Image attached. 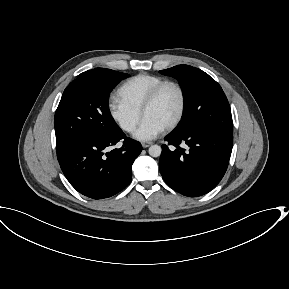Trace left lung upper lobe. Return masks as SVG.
Masks as SVG:
<instances>
[{"mask_svg":"<svg viewBox=\"0 0 289 289\" xmlns=\"http://www.w3.org/2000/svg\"><path fill=\"white\" fill-rule=\"evenodd\" d=\"M160 73L176 78L185 100L184 115L177 132L194 128L232 133L231 111L221 86L204 71L177 65Z\"/></svg>","mask_w":289,"mask_h":289,"instance_id":"obj_1","label":"left lung upper lobe"}]
</instances>
